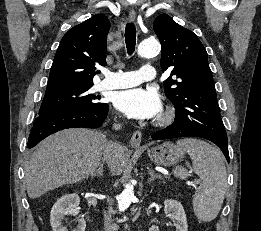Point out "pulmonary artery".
Instances as JSON below:
<instances>
[{
	"label": "pulmonary artery",
	"instance_id": "obj_1",
	"mask_svg": "<svg viewBox=\"0 0 261 231\" xmlns=\"http://www.w3.org/2000/svg\"><path fill=\"white\" fill-rule=\"evenodd\" d=\"M156 71L154 67L145 65L137 71L111 72L101 82L104 89H123L137 86L142 82L154 80Z\"/></svg>",
	"mask_w": 261,
	"mask_h": 231
}]
</instances>
